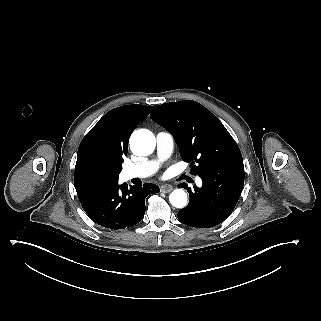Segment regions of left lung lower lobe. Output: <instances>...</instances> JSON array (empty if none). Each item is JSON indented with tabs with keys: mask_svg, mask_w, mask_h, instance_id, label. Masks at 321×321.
<instances>
[{
	"mask_svg": "<svg viewBox=\"0 0 321 321\" xmlns=\"http://www.w3.org/2000/svg\"><path fill=\"white\" fill-rule=\"evenodd\" d=\"M203 181L201 188L191 190L185 183L190 195L187 207L178 212L181 223L208 228L223 222L233 211L244 185L243 162L220 164L198 174Z\"/></svg>",
	"mask_w": 321,
	"mask_h": 321,
	"instance_id": "obj_1",
	"label": "left lung lower lobe"
}]
</instances>
